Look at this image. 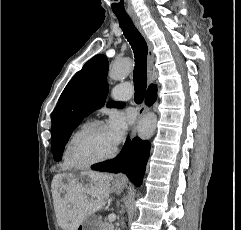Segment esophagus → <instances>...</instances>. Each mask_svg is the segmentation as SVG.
<instances>
[{
	"label": "esophagus",
	"instance_id": "1",
	"mask_svg": "<svg viewBox=\"0 0 241 230\" xmlns=\"http://www.w3.org/2000/svg\"><path fill=\"white\" fill-rule=\"evenodd\" d=\"M129 16L132 19V21H133L134 25L136 26V28L138 29V31L146 39L138 17L134 13L129 14ZM146 42H147V45H148V55H147L148 84H151L153 81L150 78V74H151L153 66H154V54H153V47H152L151 42L148 41L147 39H146ZM146 112H147V106L145 105V103H142L138 108L137 122L132 128L131 137H133L135 135L137 127H138V123Z\"/></svg>",
	"mask_w": 241,
	"mask_h": 230
}]
</instances>
